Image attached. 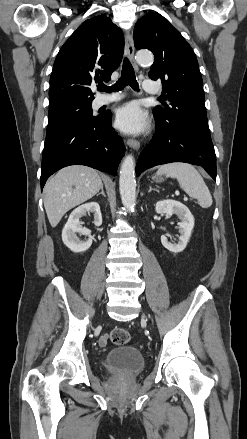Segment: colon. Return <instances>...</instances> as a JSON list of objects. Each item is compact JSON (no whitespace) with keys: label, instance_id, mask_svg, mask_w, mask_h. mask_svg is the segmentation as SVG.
I'll use <instances>...</instances> for the list:
<instances>
[{"label":"colon","instance_id":"obj_1","mask_svg":"<svg viewBox=\"0 0 247 439\" xmlns=\"http://www.w3.org/2000/svg\"><path fill=\"white\" fill-rule=\"evenodd\" d=\"M130 334L124 328H116L110 333V341L116 345H125L130 341Z\"/></svg>","mask_w":247,"mask_h":439}]
</instances>
